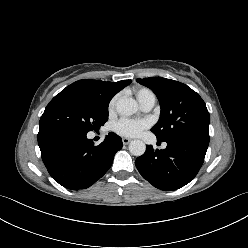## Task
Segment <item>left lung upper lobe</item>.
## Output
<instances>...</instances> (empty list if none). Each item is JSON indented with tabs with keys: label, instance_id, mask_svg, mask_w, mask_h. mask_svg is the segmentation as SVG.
I'll use <instances>...</instances> for the list:
<instances>
[{
	"label": "left lung upper lobe",
	"instance_id": "left-lung-upper-lobe-1",
	"mask_svg": "<svg viewBox=\"0 0 248 248\" xmlns=\"http://www.w3.org/2000/svg\"><path fill=\"white\" fill-rule=\"evenodd\" d=\"M157 96L161 113L151 129L157 139L166 141L178 136H209L210 116L203 99L190 87L162 77L137 79Z\"/></svg>",
	"mask_w": 248,
	"mask_h": 248
}]
</instances>
